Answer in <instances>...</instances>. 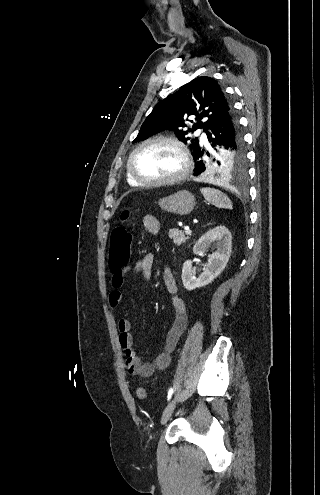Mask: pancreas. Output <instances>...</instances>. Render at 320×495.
Segmentation results:
<instances>
[{"label": "pancreas", "instance_id": "1", "mask_svg": "<svg viewBox=\"0 0 320 495\" xmlns=\"http://www.w3.org/2000/svg\"><path fill=\"white\" fill-rule=\"evenodd\" d=\"M169 237L173 239V242L178 246L185 243L186 240L189 239L188 236L186 237L184 235L183 231L176 228L169 230Z\"/></svg>", "mask_w": 320, "mask_h": 495}]
</instances>
